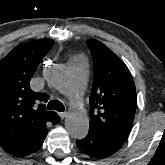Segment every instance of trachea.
<instances>
[{"label":"trachea","mask_w":165,"mask_h":165,"mask_svg":"<svg viewBox=\"0 0 165 165\" xmlns=\"http://www.w3.org/2000/svg\"><path fill=\"white\" fill-rule=\"evenodd\" d=\"M47 110H57L63 112L65 110L64 105L58 100H51L47 105Z\"/></svg>","instance_id":"3493384b"}]
</instances>
